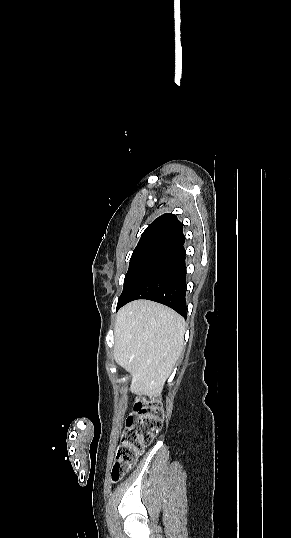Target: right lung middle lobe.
<instances>
[{"label":"right lung middle lobe","instance_id":"right-lung-middle-lobe-1","mask_svg":"<svg viewBox=\"0 0 291 538\" xmlns=\"http://www.w3.org/2000/svg\"><path fill=\"white\" fill-rule=\"evenodd\" d=\"M171 252L172 250L166 248H149L133 252L116 310L128 302L131 293L143 278Z\"/></svg>","mask_w":291,"mask_h":538}]
</instances>
